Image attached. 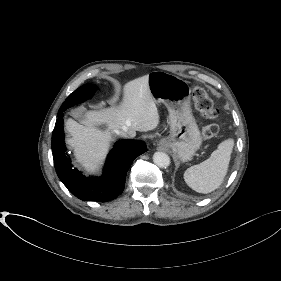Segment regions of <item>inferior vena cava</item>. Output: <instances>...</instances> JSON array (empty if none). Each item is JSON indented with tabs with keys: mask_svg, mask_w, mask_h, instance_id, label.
Here are the masks:
<instances>
[{
	"mask_svg": "<svg viewBox=\"0 0 281 281\" xmlns=\"http://www.w3.org/2000/svg\"><path fill=\"white\" fill-rule=\"evenodd\" d=\"M117 135L124 137V138H129V137H134L135 135L133 133H131L130 131H128L127 128L124 129H119L115 131Z\"/></svg>",
	"mask_w": 281,
	"mask_h": 281,
	"instance_id": "obj_1",
	"label": "inferior vena cava"
}]
</instances>
